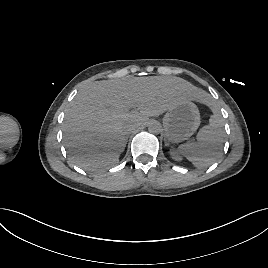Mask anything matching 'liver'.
Instances as JSON below:
<instances>
[{"label":"liver","mask_w":268,"mask_h":268,"mask_svg":"<svg viewBox=\"0 0 268 268\" xmlns=\"http://www.w3.org/2000/svg\"><path fill=\"white\" fill-rule=\"evenodd\" d=\"M203 93L179 77H131L96 81L70 102L63 139L71 160L94 171L115 165L127 143V127H137Z\"/></svg>","instance_id":"1"}]
</instances>
